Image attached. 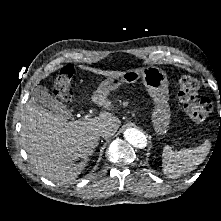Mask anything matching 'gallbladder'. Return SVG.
<instances>
[{
  "instance_id": "1",
  "label": "gallbladder",
  "mask_w": 221,
  "mask_h": 221,
  "mask_svg": "<svg viewBox=\"0 0 221 221\" xmlns=\"http://www.w3.org/2000/svg\"><path fill=\"white\" fill-rule=\"evenodd\" d=\"M32 96L36 102L49 108L51 111L60 114L66 118L71 117V111L66 106L52 96L46 87L37 86L32 90Z\"/></svg>"
}]
</instances>
